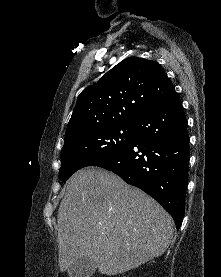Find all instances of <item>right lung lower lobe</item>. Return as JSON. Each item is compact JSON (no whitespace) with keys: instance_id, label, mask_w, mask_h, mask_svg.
<instances>
[{"instance_id":"right-lung-lower-lobe-1","label":"right lung lower lobe","mask_w":221,"mask_h":277,"mask_svg":"<svg viewBox=\"0 0 221 277\" xmlns=\"http://www.w3.org/2000/svg\"><path fill=\"white\" fill-rule=\"evenodd\" d=\"M130 145L94 166L110 170L168 211L179 230L185 212L189 135L181 100L174 91L137 118Z\"/></svg>"}]
</instances>
